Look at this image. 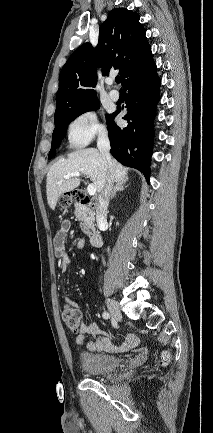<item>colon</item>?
Returning a JSON list of instances; mask_svg holds the SVG:
<instances>
[{
	"mask_svg": "<svg viewBox=\"0 0 213 433\" xmlns=\"http://www.w3.org/2000/svg\"><path fill=\"white\" fill-rule=\"evenodd\" d=\"M86 199H89V198L84 191L75 190L68 195H64L59 200V206H60V208L65 209V208L70 207L72 205V203H74V202H79V201H83ZM62 319L69 329L75 331L81 325L82 313L76 305L66 304L62 310ZM169 361H170L169 352H167V351L163 352L160 356L159 364L162 366H165L169 363Z\"/></svg>",
	"mask_w": 213,
	"mask_h": 433,
	"instance_id": "colon-1",
	"label": "colon"
}]
</instances>
